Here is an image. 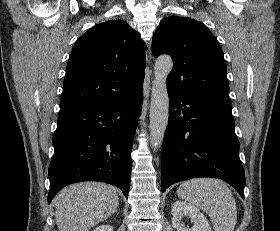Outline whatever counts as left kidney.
I'll list each match as a JSON object with an SVG mask.
<instances>
[{
  "label": "left kidney",
  "instance_id": "obj_1",
  "mask_svg": "<svg viewBox=\"0 0 280 231\" xmlns=\"http://www.w3.org/2000/svg\"><path fill=\"white\" fill-rule=\"evenodd\" d=\"M172 227H175L177 231H211L210 223L206 219L203 213H200L199 209L191 203H186V201H174L172 205ZM183 217L187 219L190 217V221H193L192 227H185Z\"/></svg>",
  "mask_w": 280,
  "mask_h": 231
}]
</instances>
